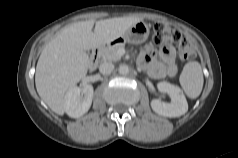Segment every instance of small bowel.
<instances>
[{"instance_id": "1", "label": "small bowel", "mask_w": 238, "mask_h": 158, "mask_svg": "<svg viewBox=\"0 0 238 158\" xmlns=\"http://www.w3.org/2000/svg\"><path fill=\"white\" fill-rule=\"evenodd\" d=\"M175 56L172 46L162 47L157 54L151 46L147 45L141 51L138 62L154 79L173 78L178 71Z\"/></svg>"}]
</instances>
